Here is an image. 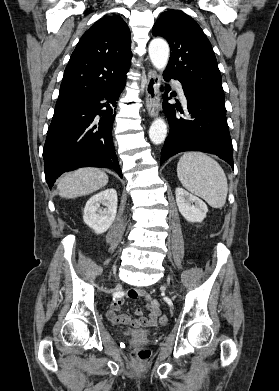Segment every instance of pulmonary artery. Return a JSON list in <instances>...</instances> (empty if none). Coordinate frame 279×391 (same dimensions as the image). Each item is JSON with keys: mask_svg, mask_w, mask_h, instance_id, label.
Instances as JSON below:
<instances>
[{"mask_svg": "<svg viewBox=\"0 0 279 391\" xmlns=\"http://www.w3.org/2000/svg\"><path fill=\"white\" fill-rule=\"evenodd\" d=\"M173 84H174L175 87L177 88V90H178V92H179V94H180V97H181L183 103H186V98H185V96H184V92H183L182 85H181L179 82H177V81H173Z\"/></svg>", "mask_w": 279, "mask_h": 391, "instance_id": "pulmonary-artery-1", "label": "pulmonary artery"}]
</instances>
